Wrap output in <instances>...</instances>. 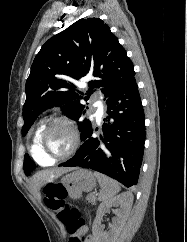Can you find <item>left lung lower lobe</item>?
Returning <instances> with one entry per match:
<instances>
[{"mask_svg": "<svg viewBox=\"0 0 187 242\" xmlns=\"http://www.w3.org/2000/svg\"><path fill=\"white\" fill-rule=\"evenodd\" d=\"M103 134L90 129L85 140L63 167H83L106 174L126 187L136 185L145 143V116L133 76L106 101Z\"/></svg>", "mask_w": 187, "mask_h": 242, "instance_id": "obj_1", "label": "left lung lower lobe"}]
</instances>
